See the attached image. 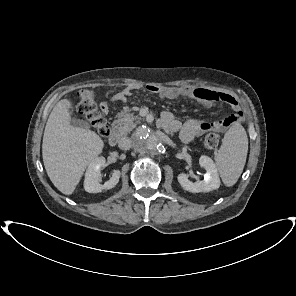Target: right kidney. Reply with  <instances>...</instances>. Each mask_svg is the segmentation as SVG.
Listing matches in <instances>:
<instances>
[{
	"instance_id": "1",
	"label": "right kidney",
	"mask_w": 296,
	"mask_h": 296,
	"mask_svg": "<svg viewBox=\"0 0 296 296\" xmlns=\"http://www.w3.org/2000/svg\"><path fill=\"white\" fill-rule=\"evenodd\" d=\"M106 159L101 156L91 162L85 173L84 189L89 193H99L102 190L112 189L117 185L120 178V171L114 170L112 177L104 184L100 183V169L105 166Z\"/></svg>"
}]
</instances>
